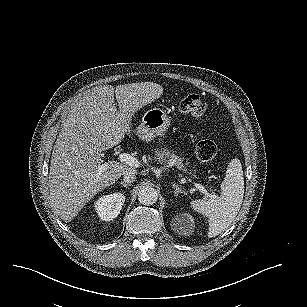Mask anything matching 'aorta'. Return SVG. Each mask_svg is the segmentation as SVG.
<instances>
[{
	"mask_svg": "<svg viewBox=\"0 0 307 307\" xmlns=\"http://www.w3.org/2000/svg\"><path fill=\"white\" fill-rule=\"evenodd\" d=\"M157 199L158 192L152 186H145L138 193V200L142 205H153Z\"/></svg>",
	"mask_w": 307,
	"mask_h": 307,
	"instance_id": "762f6f07",
	"label": "aorta"
}]
</instances>
